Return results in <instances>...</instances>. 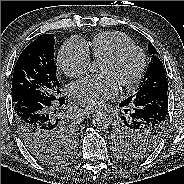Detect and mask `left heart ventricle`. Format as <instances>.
<instances>
[{
	"label": "left heart ventricle",
	"mask_w": 184,
	"mask_h": 184,
	"mask_svg": "<svg viewBox=\"0 0 184 184\" xmlns=\"http://www.w3.org/2000/svg\"><path fill=\"white\" fill-rule=\"evenodd\" d=\"M139 64V57L135 53L128 54L118 65H111L102 61L99 72L110 75L120 83L122 80L130 78L136 71Z\"/></svg>",
	"instance_id": "1"
}]
</instances>
